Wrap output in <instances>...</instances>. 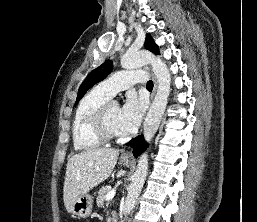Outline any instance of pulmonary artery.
I'll use <instances>...</instances> for the list:
<instances>
[{
  "instance_id": "1",
  "label": "pulmonary artery",
  "mask_w": 257,
  "mask_h": 222,
  "mask_svg": "<svg viewBox=\"0 0 257 222\" xmlns=\"http://www.w3.org/2000/svg\"><path fill=\"white\" fill-rule=\"evenodd\" d=\"M147 73L144 71H119L99 84V89L110 97L136 83H145Z\"/></svg>"
}]
</instances>
